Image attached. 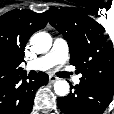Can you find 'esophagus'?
Segmentation results:
<instances>
[{"label":"esophagus","instance_id":"1","mask_svg":"<svg viewBox=\"0 0 114 114\" xmlns=\"http://www.w3.org/2000/svg\"><path fill=\"white\" fill-rule=\"evenodd\" d=\"M58 80V78L57 77H55V76H49V81L51 82V83H53V82H55V81H57Z\"/></svg>","mask_w":114,"mask_h":114}]
</instances>
